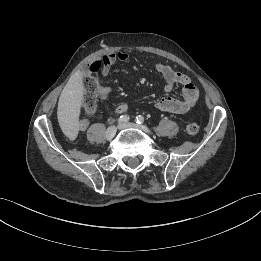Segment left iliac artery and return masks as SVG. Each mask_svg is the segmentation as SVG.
I'll return each mask as SVG.
<instances>
[{
	"label": "left iliac artery",
	"mask_w": 261,
	"mask_h": 261,
	"mask_svg": "<svg viewBox=\"0 0 261 261\" xmlns=\"http://www.w3.org/2000/svg\"><path fill=\"white\" fill-rule=\"evenodd\" d=\"M143 122H144V117L141 116V115H138V116L136 117V123L142 124Z\"/></svg>",
	"instance_id": "left-iliac-artery-1"
}]
</instances>
